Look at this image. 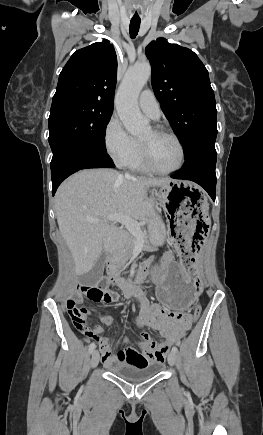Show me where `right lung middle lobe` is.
Here are the masks:
<instances>
[{
    "instance_id": "dd1d6c3e",
    "label": "right lung middle lobe",
    "mask_w": 263,
    "mask_h": 435,
    "mask_svg": "<svg viewBox=\"0 0 263 435\" xmlns=\"http://www.w3.org/2000/svg\"><path fill=\"white\" fill-rule=\"evenodd\" d=\"M113 106L98 102H70L51 106L49 144L53 156L67 144L106 151L105 132Z\"/></svg>"
}]
</instances>
